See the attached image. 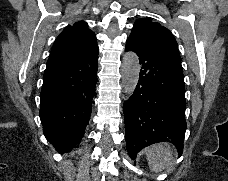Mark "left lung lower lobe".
Returning <instances> with one entry per match:
<instances>
[{
  "label": "left lung lower lobe",
  "mask_w": 228,
  "mask_h": 181,
  "mask_svg": "<svg viewBox=\"0 0 228 181\" xmlns=\"http://www.w3.org/2000/svg\"><path fill=\"white\" fill-rule=\"evenodd\" d=\"M126 51L136 52L141 64L137 87L123 105L129 156L134 159L144 147L164 141L181 155L187 127L181 59L130 39Z\"/></svg>",
  "instance_id": "obj_1"
}]
</instances>
